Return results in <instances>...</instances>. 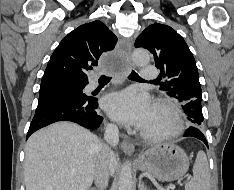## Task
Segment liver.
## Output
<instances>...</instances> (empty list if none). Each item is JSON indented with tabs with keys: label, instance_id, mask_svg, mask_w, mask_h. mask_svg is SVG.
I'll return each mask as SVG.
<instances>
[{
	"label": "liver",
	"instance_id": "6515ba94",
	"mask_svg": "<svg viewBox=\"0 0 234 190\" xmlns=\"http://www.w3.org/2000/svg\"><path fill=\"white\" fill-rule=\"evenodd\" d=\"M102 145L89 130L65 121L35 132L25 148L26 190H89ZM116 166L114 155L110 173Z\"/></svg>",
	"mask_w": 234,
	"mask_h": 190
}]
</instances>
